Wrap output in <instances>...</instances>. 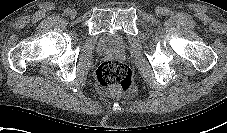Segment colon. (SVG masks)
<instances>
[{
  "label": "colon",
  "mask_w": 227,
  "mask_h": 133,
  "mask_svg": "<svg viewBox=\"0 0 227 133\" xmlns=\"http://www.w3.org/2000/svg\"><path fill=\"white\" fill-rule=\"evenodd\" d=\"M98 85L107 90L128 91L132 85L129 67L121 61L109 59L102 62L96 71Z\"/></svg>",
  "instance_id": "1"
}]
</instances>
